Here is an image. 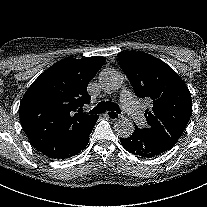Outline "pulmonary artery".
Returning <instances> with one entry per match:
<instances>
[{
    "label": "pulmonary artery",
    "instance_id": "1",
    "mask_svg": "<svg viewBox=\"0 0 207 207\" xmlns=\"http://www.w3.org/2000/svg\"><path fill=\"white\" fill-rule=\"evenodd\" d=\"M121 106L132 121H139L142 118V110L132 96H124L121 99Z\"/></svg>",
    "mask_w": 207,
    "mask_h": 207
}]
</instances>
